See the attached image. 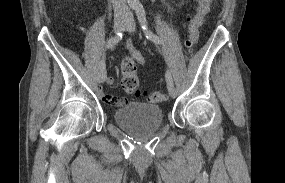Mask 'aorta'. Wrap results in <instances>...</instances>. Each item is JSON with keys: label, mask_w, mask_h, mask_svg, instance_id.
Returning a JSON list of instances; mask_svg holds the SVG:
<instances>
[{"label": "aorta", "mask_w": 285, "mask_h": 183, "mask_svg": "<svg viewBox=\"0 0 285 183\" xmlns=\"http://www.w3.org/2000/svg\"><path fill=\"white\" fill-rule=\"evenodd\" d=\"M128 4L131 8H134V9L141 7V3L139 0H128Z\"/></svg>", "instance_id": "aorta-1"}]
</instances>
